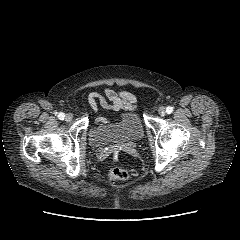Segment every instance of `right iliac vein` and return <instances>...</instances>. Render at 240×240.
Returning <instances> with one entry per match:
<instances>
[{"label":"right iliac vein","mask_w":240,"mask_h":240,"mask_svg":"<svg viewBox=\"0 0 240 240\" xmlns=\"http://www.w3.org/2000/svg\"><path fill=\"white\" fill-rule=\"evenodd\" d=\"M73 119V115L71 113H67L65 115V121L70 122Z\"/></svg>","instance_id":"63e3f726"}]
</instances>
